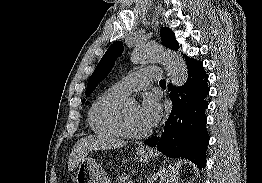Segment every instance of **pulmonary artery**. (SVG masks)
I'll return each mask as SVG.
<instances>
[{
	"label": "pulmonary artery",
	"mask_w": 262,
	"mask_h": 183,
	"mask_svg": "<svg viewBox=\"0 0 262 183\" xmlns=\"http://www.w3.org/2000/svg\"><path fill=\"white\" fill-rule=\"evenodd\" d=\"M161 78V70L157 68H145L137 70L113 85L118 93L127 96L132 91L146 87L151 81H158Z\"/></svg>",
	"instance_id": "1"
}]
</instances>
